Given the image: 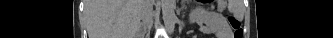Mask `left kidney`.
<instances>
[{
	"instance_id": "5707ae66",
	"label": "left kidney",
	"mask_w": 333,
	"mask_h": 38,
	"mask_svg": "<svg viewBox=\"0 0 333 38\" xmlns=\"http://www.w3.org/2000/svg\"><path fill=\"white\" fill-rule=\"evenodd\" d=\"M189 23H204L207 32L210 34L213 33L216 38H229L231 34L230 27L222 14L208 11L203 7H197L191 10Z\"/></svg>"
}]
</instances>
